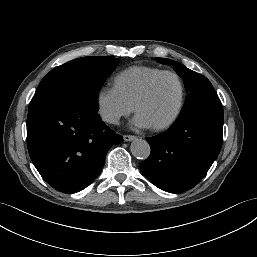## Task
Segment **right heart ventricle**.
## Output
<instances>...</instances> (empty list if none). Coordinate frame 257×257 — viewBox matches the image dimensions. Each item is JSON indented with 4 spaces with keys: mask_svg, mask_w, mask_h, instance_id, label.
Wrapping results in <instances>:
<instances>
[{
    "mask_svg": "<svg viewBox=\"0 0 257 257\" xmlns=\"http://www.w3.org/2000/svg\"><path fill=\"white\" fill-rule=\"evenodd\" d=\"M162 71L164 70L148 66L131 67L115 77L114 86L129 103L134 105L146 84Z\"/></svg>",
    "mask_w": 257,
    "mask_h": 257,
    "instance_id": "e07e8e85",
    "label": "right heart ventricle"
}]
</instances>
